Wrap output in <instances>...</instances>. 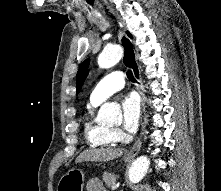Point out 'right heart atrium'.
<instances>
[{
    "label": "right heart atrium",
    "instance_id": "d8ad5b80",
    "mask_svg": "<svg viewBox=\"0 0 221 191\" xmlns=\"http://www.w3.org/2000/svg\"><path fill=\"white\" fill-rule=\"evenodd\" d=\"M112 132H113L115 141H120L123 139V133L121 130L115 128V129H112Z\"/></svg>",
    "mask_w": 221,
    "mask_h": 191
}]
</instances>
